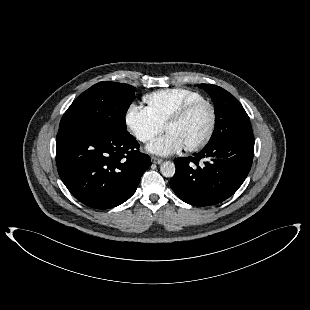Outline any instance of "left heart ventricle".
I'll use <instances>...</instances> for the list:
<instances>
[{"label": "left heart ventricle", "instance_id": "b2bd125f", "mask_svg": "<svg viewBox=\"0 0 310 310\" xmlns=\"http://www.w3.org/2000/svg\"><path fill=\"white\" fill-rule=\"evenodd\" d=\"M210 123V111L205 105L195 109L183 121L169 126L166 131L176 135L184 147L196 144L205 135Z\"/></svg>", "mask_w": 310, "mask_h": 310}]
</instances>
